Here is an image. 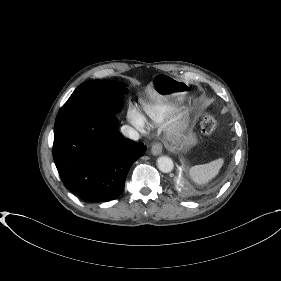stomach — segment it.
I'll list each match as a JSON object with an SVG mask.
<instances>
[{
  "label": "stomach",
  "mask_w": 281,
  "mask_h": 281,
  "mask_svg": "<svg viewBox=\"0 0 281 281\" xmlns=\"http://www.w3.org/2000/svg\"><path fill=\"white\" fill-rule=\"evenodd\" d=\"M156 94L165 101L180 99L188 94V84L181 79L167 74H157L151 83ZM197 142L193 132L189 131L180 142V148L184 149L195 145Z\"/></svg>",
  "instance_id": "1"
}]
</instances>
